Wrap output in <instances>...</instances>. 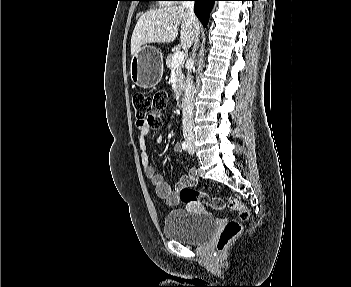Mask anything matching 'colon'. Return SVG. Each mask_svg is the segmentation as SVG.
Here are the masks:
<instances>
[{
    "mask_svg": "<svg viewBox=\"0 0 351 287\" xmlns=\"http://www.w3.org/2000/svg\"><path fill=\"white\" fill-rule=\"evenodd\" d=\"M133 107L137 120H148V126L158 129L162 126L163 113L167 107L166 92L159 91L153 95L142 92L134 93ZM180 199L185 203L201 202L216 210L232 209L239 212L238 220L228 221L217 240V249L224 250L242 231V222L249 217L248 209L236 199L211 197L190 187H184L179 192Z\"/></svg>",
    "mask_w": 351,
    "mask_h": 287,
    "instance_id": "obj_1",
    "label": "colon"
}]
</instances>
